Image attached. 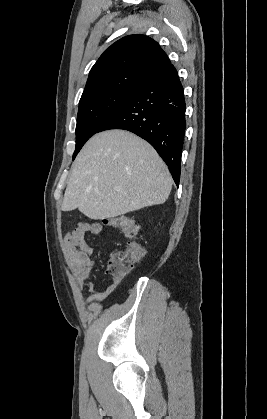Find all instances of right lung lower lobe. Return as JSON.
I'll return each mask as SVG.
<instances>
[{
	"mask_svg": "<svg viewBox=\"0 0 267 419\" xmlns=\"http://www.w3.org/2000/svg\"><path fill=\"white\" fill-rule=\"evenodd\" d=\"M185 110L183 86L171 64L142 83L98 132L124 129L148 141L165 161L178 186Z\"/></svg>",
	"mask_w": 267,
	"mask_h": 419,
	"instance_id": "obj_1",
	"label": "right lung lower lobe"
}]
</instances>
